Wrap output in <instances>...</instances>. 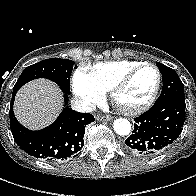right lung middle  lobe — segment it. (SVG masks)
<instances>
[{"mask_svg":"<svg viewBox=\"0 0 196 196\" xmlns=\"http://www.w3.org/2000/svg\"><path fill=\"white\" fill-rule=\"evenodd\" d=\"M74 62L68 59L51 58L28 66L18 78L13 91L36 78H47L60 86L61 90L70 94V75Z\"/></svg>","mask_w":196,"mask_h":196,"instance_id":"1","label":"right lung middle lobe"}]
</instances>
